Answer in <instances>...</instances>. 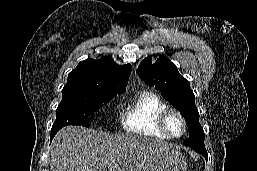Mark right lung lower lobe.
<instances>
[{
    "instance_id": "obj_1",
    "label": "right lung lower lobe",
    "mask_w": 257,
    "mask_h": 171,
    "mask_svg": "<svg viewBox=\"0 0 257 171\" xmlns=\"http://www.w3.org/2000/svg\"><path fill=\"white\" fill-rule=\"evenodd\" d=\"M60 129H61V128H52V129H51L50 141H52V139L54 138V136L56 135V133H57Z\"/></svg>"
}]
</instances>
